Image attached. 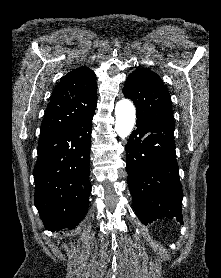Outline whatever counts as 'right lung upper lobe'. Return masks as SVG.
I'll list each match as a JSON object with an SVG mask.
<instances>
[{
	"label": "right lung upper lobe",
	"instance_id": "1",
	"mask_svg": "<svg viewBox=\"0 0 221 278\" xmlns=\"http://www.w3.org/2000/svg\"><path fill=\"white\" fill-rule=\"evenodd\" d=\"M96 104L95 73L86 66L70 71L53 90L41 124L39 143L95 112Z\"/></svg>",
	"mask_w": 221,
	"mask_h": 278
}]
</instances>
